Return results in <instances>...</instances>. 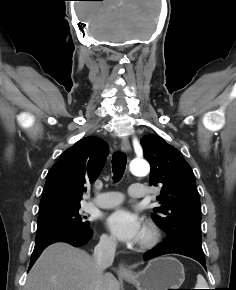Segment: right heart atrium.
<instances>
[{
	"label": "right heart atrium",
	"instance_id": "d8ad5b80",
	"mask_svg": "<svg viewBox=\"0 0 236 290\" xmlns=\"http://www.w3.org/2000/svg\"><path fill=\"white\" fill-rule=\"evenodd\" d=\"M101 244L106 247H113L115 245V239L107 234L101 236Z\"/></svg>",
	"mask_w": 236,
	"mask_h": 290
}]
</instances>
